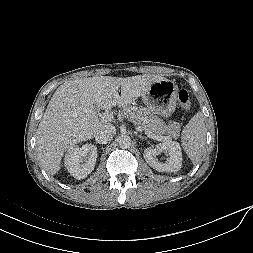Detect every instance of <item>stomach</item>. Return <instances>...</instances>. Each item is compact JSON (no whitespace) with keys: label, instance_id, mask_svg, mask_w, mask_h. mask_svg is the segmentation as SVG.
<instances>
[{"label":"stomach","instance_id":"0dacf381","mask_svg":"<svg viewBox=\"0 0 253 253\" xmlns=\"http://www.w3.org/2000/svg\"><path fill=\"white\" fill-rule=\"evenodd\" d=\"M177 93L176 83L169 79H163L154 82L142 98L149 110L167 118L175 111Z\"/></svg>","mask_w":253,"mask_h":253}]
</instances>
